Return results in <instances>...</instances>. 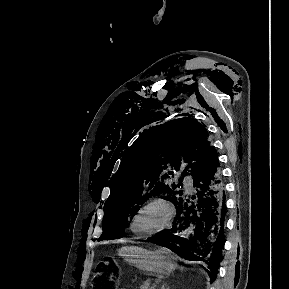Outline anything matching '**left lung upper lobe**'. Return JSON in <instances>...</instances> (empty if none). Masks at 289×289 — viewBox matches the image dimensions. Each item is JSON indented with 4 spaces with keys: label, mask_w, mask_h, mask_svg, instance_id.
Masks as SVG:
<instances>
[{
    "label": "left lung upper lobe",
    "mask_w": 289,
    "mask_h": 289,
    "mask_svg": "<svg viewBox=\"0 0 289 289\" xmlns=\"http://www.w3.org/2000/svg\"><path fill=\"white\" fill-rule=\"evenodd\" d=\"M207 137L206 128L187 117L142 133L111 178L98 240L121 238L129 220L151 196L160 195L173 203L182 196L183 177H194L216 151Z\"/></svg>",
    "instance_id": "1"
}]
</instances>
